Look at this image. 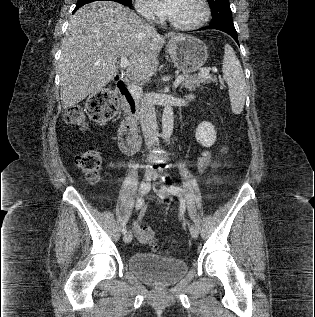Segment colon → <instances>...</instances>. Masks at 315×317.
I'll list each match as a JSON object with an SVG mask.
<instances>
[{
    "instance_id": "obj_1",
    "label": "colon",
    "mask_w": 315,
    "mask_h": 317,
    "mask_svg": "<svg viewBox=\"0 0 315 317\" xmlns=\"http://www.w3.org/2000/svg\"><path fill=\"white\" fill-rule=\"evenodd\" d=\"M118 108L117 96L111 89H103L93 94L86 105L88 116L99 122L110 120ZM66 123L72 126L85 128L86 120L83 110L79 106L69 107L64 114ZM76 166L83 172L86 179L96 182L100 177L102 158L94 148L87 149L75 157ZM140 239L150 245L154 250H159L155 232L150 226L141 228Z\"/></svg>"
}]
</instances>
